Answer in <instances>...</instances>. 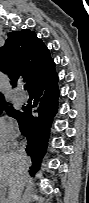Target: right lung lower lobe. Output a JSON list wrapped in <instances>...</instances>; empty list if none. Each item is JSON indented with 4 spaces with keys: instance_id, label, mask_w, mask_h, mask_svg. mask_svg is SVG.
Here are the masks:
<instances>
[{
    "instance_id": "obj_1",
    "label": "right lung lower lobe",
    "mask_w": 89,
    "mask_h": 203,
    "mask_svg": "<svg viewBox=\"0 0 89 203\" xmlns=\"http://www.w3.org/2000/svg\"><path fill=\"white\" fill-rule=\"evenodd\" d=\"M55 66L39 76L29 87L35 94L33 105L23 107L19 119L20 131L28 140L26 152L32 159L30 175L40 168L41 160L47 149L51 119L57 112L59 90ZM35 108L34 110H32ZM32 112L37 113L33 115Z\"/></svg>"
}]
</instances>
